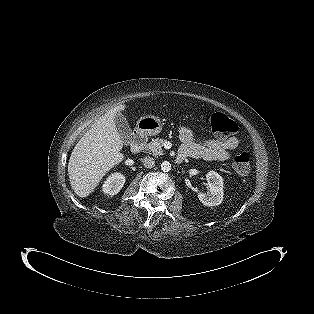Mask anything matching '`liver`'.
I'll list each match as a JSON object with an SVG mask.
<instances>
[{
  "label": "liver",
  "mask_w": 314,
  "mask_h": 314,
  "mask_svg": "<svg viewBox=\"0 0 314 314\" xmlns=\"http://www.w3.org/2000/svg\"><path fill=\"white\" fill-rule=\"evenodd\" d=\"M125 108L120 105L107 111L74 147L68 175L71 187L79 197L89 196L103 177L124 160V154L120 152L123 142L116 129L115 117Z\"/></svg>",
  "instance_id": "obj_1"
}]
</instances>
